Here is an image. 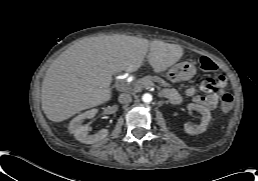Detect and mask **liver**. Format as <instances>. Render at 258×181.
Returning a JSON list of instances; mask_svg holds the SVG:
<instances>
[{
  "mask_svg": "<svg viewBox=\"0 0 258 181\" xmlns=\"http://www.w3.org/2000/svg\"><path fill=\"white\" fill-rule=\"evenodd\" d=\"M147 52L156 73L165 71L182 55L175 45L120 35L90 38L73 45L46 73L42 98L46 115L60 122L109 100V89L101 87L107 76L137 69Z\"/></svg>",
  "mask_w": 258,
  "mask_h": 181,
  "instance_id": "obj_1",
  "label": "liver"
}]
</instances>
